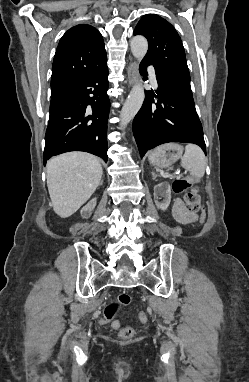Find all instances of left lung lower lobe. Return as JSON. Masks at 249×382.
Here are the masks:
<instances>
[{
  "mask_svg": "<svg viewBox=\"0 0 249 382\" xmlns=\"http://www.w3.org/2000/svg\"><path fill=\"white\" fill-rule=\"evenodd\" d=\"M152 63L142 60L140 72ZM158 90L146 91L145 101L133 120V134L140 156L147 150L168 142L199 145L206 153L203 129L197 115L192 93L167 81L156 73ZM152 98H155L154 101Z\"/></svg>",
  "mask_w": 249,
  "mask_h": 382,
  "instance_id": "0a47b994",
  "label": "left lung lower lobe"
}]
</instances>
